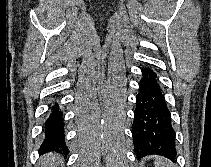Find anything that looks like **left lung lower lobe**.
Segmentation results:
<instances>
[{
  "instance_id": "0a47b994",
  "label": "left lung lower lobe",
  "mask_w": 211,
  "mask_h": 167,
  "mask_svg": "<svg viewBox=\"0 0 211 167\" xmlns=\"http://www.w3.org/2000/svg\"><path fill=\"white\" fill-rule=\"evenodd\" d=\"M156 78L150 68L142 69L132 124L134 150L137 157L161 155L174 160L177 155L175 131Z\"/></svg>"
}]
</instances>
